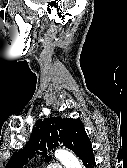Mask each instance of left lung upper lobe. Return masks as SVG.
<instances>
[{
    "label": "left lung upper lobe",
    "instance_id": "5c2ea615",
    "mask_svg": "<svg viewBox=\"0 0 127 168\" xmlns=\"http://www.w3.org/2000/svg\"><path fill=\"white\" fill-rule=\"evenodd\" d=\"M88 138L83 123L72 118L46 117L36 127L26 146L14 153L5 168H22L27 159L36 153L46 156L49 149L66 146L76 154L83 141ZM50 162L51 157L46 156Z\"/></svg>",
    "mask_w": 127,
    "mask_h": 168
}]
</instances>
